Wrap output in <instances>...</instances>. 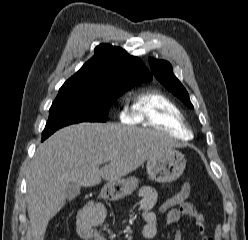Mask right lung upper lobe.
<instances>
[{"label": "right lung upper lobe", "instance_id": "right-lung-upper-lobe-1", "mask_svg": "<svg viewBox=\"0 0 248 240\" xmlns=\"http://www.w3.org/2000/svg\"><path fill=\"white\" fill-rule=\"evenodd\" d=\"M150 79L151 74L138 57L119 47L100 44L95 48V55L60 89H106Z\"/></svg>", "mask_w": 248, "mask_h": 240}]
</instances>
